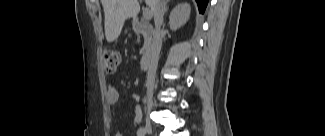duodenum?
<instances>
[{
	"label": "duodenum",
	"mask_w": 325,
	"mask_h": 136,
	"mask_svg": "<svg viewBox=\"0 0 325 136\" xmlns=\"http://www.w3.org/2000/svg\"><path fill=\"white\" fill-rule=\"evenodd\" d=\"M134 27L144 35L143 56L140 62V67L142 69H147L155 48L156 32L149 23L143 20L135 21Z\"/></svg>",
	"instance_id": "obj_1"
}]
</instances>
